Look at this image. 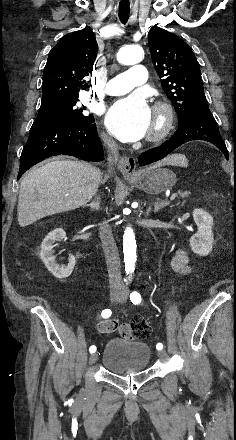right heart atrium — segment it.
Segmentation results:
<instances>
[{"instance_id": "obj_1", "label": "right heart atrium", "mask_w": 236, "mask_h": 440, "mask_svg": "<svg viewBox=\"0 0 236 440\" xmlns=\"http://www.w3.org/2000/svg\"><path fill=\"white\" fill-rule=\"evenodd\" d=\"M101 138L104 141V143H106L107 145H112L113 144L112 139L110 138V136L107 133L102 132L101 133Z\"/></svg>"}]
</instances>
